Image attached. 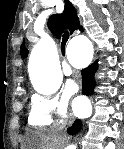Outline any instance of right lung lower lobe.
I'll return each instance as SVG.
<instances>
[{"instance_id":"obj_1","label":"right lung lower lobe","mask_w":124,"mask_h":149,"mask_svg":"<svg viewBox=\"0 0 124 149\" xmlns=\"http://www.w3.org/2000/svg\"><path fill=\"white\" fill-rule=\"evenodd\" d=\"M81 129V122L80 120L76 119L73 125L67 129V132L70 135H76Z\"/></svg>"}]
</instances>
